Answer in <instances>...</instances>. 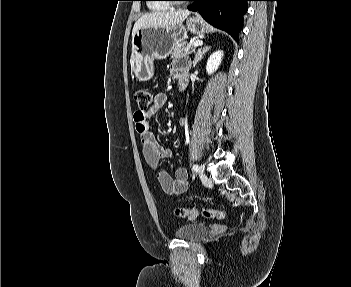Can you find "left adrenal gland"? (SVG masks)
I'll return each mask as SVG.
<instances>
[{"instance_id":"left-adrenal-gland-1","label":"left adrenal gland","mask_w":351,"mask_h":287,"mask_svg":"<svg viewBox=\"0 0 351 287\" xmlns=\"http://www.w3.org/2000/svg\"><path fill=\"white\" fill-rule=\"evenodd\" d=\"M210 48H211L210 46H204V47L199 48L195 52V57H194V60H193V67H195L197 65V63L203 58L205 53L207 51H209Z\"/></svg>"}]
</instances>
